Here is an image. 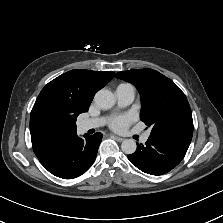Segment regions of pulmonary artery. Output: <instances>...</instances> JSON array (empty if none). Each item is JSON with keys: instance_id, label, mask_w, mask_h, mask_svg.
Returning <instances> with one entry per match:
<instances>
[{"instance_id": "1", "label": "pulmonary artery", "mask_w": 223, "mask_h": 223, "mask_svg": "<svg viewBox=\"0 0 223 223\" xmlns=\"http://www.w3.org/2000/svg\"><path fill=\"white\" fill-rule=\"evenodd\" d=\"M115 96L118 104L121 107L131 104L135 97V89L130 84H120L115 90ZM103 124L102 118L88 119L82 123L85 129L97 128ZM139 138L142 142L149 140L150 135L148 132L143 131L140 133Z\"/></svg>"}]
</instances>
